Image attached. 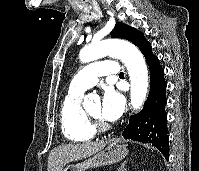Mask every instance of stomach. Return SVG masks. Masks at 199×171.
<instances>
[{"label":"stomach","instance_id":"0dacf381","mask_svg":"<svg viewBox=\"0 0 199 171\" xmlns=\"http://www.w3.org/2000/svg\"><path fill=\"white\" fill-rule=\"evenodd\" d=\"M127 154L128 150L125 145H122L118 141H111L104 149L93 157L88 158L81 163L67 165L62 171H85L89 168L114 164L124 159Z\"/></svg>","mask_w":199,"mask_h":171}]
</instances>
